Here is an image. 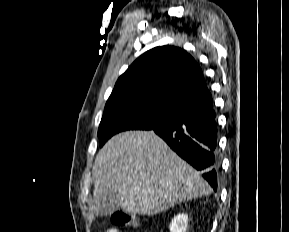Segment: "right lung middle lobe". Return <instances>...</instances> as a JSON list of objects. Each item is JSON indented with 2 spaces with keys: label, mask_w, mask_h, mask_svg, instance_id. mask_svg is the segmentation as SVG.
I'll use <instances>...</instances> for the list:
<instances>
[{
  "label": "right lung middle lobe",
  "mask_w": 289,
  "mask_h": 232,
  "mask_svg": "<svg viewBox=\"0 0 289 232\" xmlns=\"http://www.w3.org/2000/svg\"><path fill=\"white\" fill-rule=\"evenodd\" d=\"M180 109L142 97L109 98L99 126L100 146L125 130H152L175 119Z\"/></svg>",
  "instance_id": "dd1d6c3e"
}]
</instances>
